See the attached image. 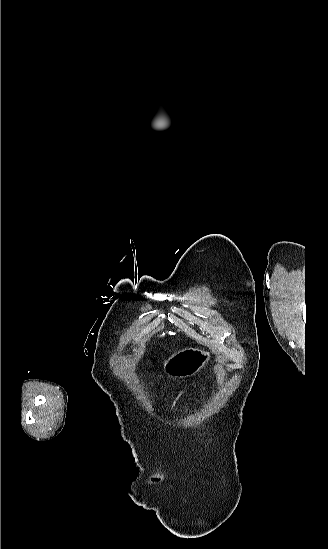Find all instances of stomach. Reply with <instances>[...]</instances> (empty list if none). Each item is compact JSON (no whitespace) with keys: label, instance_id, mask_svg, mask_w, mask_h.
<instances>
[{"label":"stomach","instance_id":"1","mask_svg":"<svg viewBox=\"0 0 328 549\" xmlns=\"http://www.w3.org/2000/svg\"><path fill=\"white\" fill-rule=\"evenodd\" d=\"M210 359V351L188 347V349L174 353L167 361H164L163 371L172 379H186V377H193L201 369H204Z\"/></svg>","mask_w":328,"mask_h":549}]
</instances>
